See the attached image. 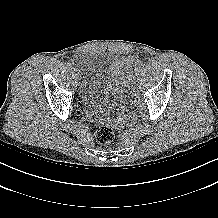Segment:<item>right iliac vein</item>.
<instances>
[{
    "mask_svg": "<svg viewBox=\"0 0 218 218\" xmlns=\"http://www.w3.org/2000/svg\"><path fill=\"white\" fill-rule=\"evenodd\" d=\"M75 77H76V79H79V73H77V71H75Z\"/></svg>",
    "mask_w": 218,
    "mask_h": 218,
    "instance_id": "1",
    "label": "right iliac vein"
}]
</instances>
